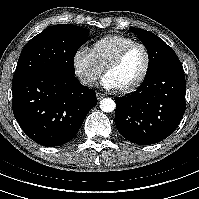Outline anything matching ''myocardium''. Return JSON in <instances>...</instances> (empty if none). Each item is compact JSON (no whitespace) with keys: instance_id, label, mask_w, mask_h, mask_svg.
<instances>
[{"instance_id":"obj_1","label":"myocardium","mask_w":199,"mask_h":199,"mask_svg":"<svg viewBox=\"0 0 199 199\" xmlns=\"http://www.w3.org/2000/svg\"><path fill=\"white\" fill-rule=\"evenodd\" d=\"M134 46H140L144 50L145 56H146L145 67H144L142 74L139 76V78L133 84L123 87V88H120V89H116V91L121 94L132 93V92L136 91L145 82V80L149 74L150 66H151V54H150L148 47L142 42L133 41V42L125 45L123 48H121L117 52V54L103 68V76H105L108 71L112 70L113 68H115L119 65V63L121 62V60L123 59L125 54L128 52V50Z\"/></svg>"}]
</instances>
